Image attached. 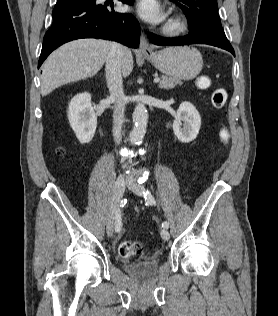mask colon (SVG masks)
Segmentation results:
<instances>
[{
  "label": "colon",
  "instance_id": "5ec220e1",
  "mask_svg": "<svg viewBox=\"0 0 278 316\" xmlns=\"http://www.w3.org/2000/svg\"><path fill=\"white\" fill-rule=\"evenodd\" d=\"M198 83L200 86L208 85L209 79L207 77H201L198 80ZM226 101H227V90L223 87L214 88L211 94V103L213 107L216 109H221L226 104ZM228 137H229L228 132L226 130H223L221 132L222 140L226 142L228 140ZM58 152L62 153L63 150L59 149ZM142 249L143 247L141 243L137 241L127 240V241H123L119 245L118 251L121 257L128 258L133 255L141 253Z\"/></svg>",
  "mask_w": 278,
  "mask_h": 316
}]
</instances>
